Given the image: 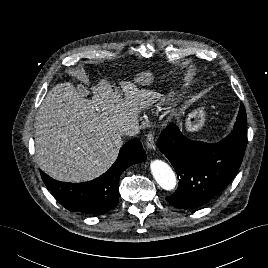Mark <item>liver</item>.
I'll return each instance as SVG.
<instances>
[{"mask_svg": "<svg viewBox=\"0 0 268 268\" xmlns=\"http://www.w3.org/2000/svg\"><path fill=\"white\" fill-rule=\"evenodd\" d=\"M124 97L106 80L84 98L72 83L54 86L38 109L35 153L41 170L64 182H85L115 162L123 144L122 130L138 124V113L157 94L132 82L120 83Z\"/></svg>", "mask_w": 268, "mask_h": 268, "instance_id": "liver-1", "label": "liver"}]
</instances>
